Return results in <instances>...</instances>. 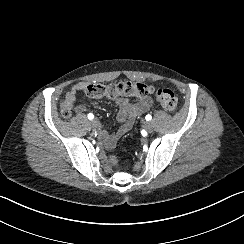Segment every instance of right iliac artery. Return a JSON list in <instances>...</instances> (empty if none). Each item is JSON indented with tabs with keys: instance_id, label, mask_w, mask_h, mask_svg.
<instances>
[{
	"instance_id": "obj_1",
	"label": "right iliac artery",
	"mask_w": 244,
	"mask_h": 244,
	"mask_svg": "<svg viewBox=\"0 0 244 244\" xmlns=\"http://www.w3.org/2000/svg\"><path fill=\"white\" fill-rule=\"evenodd\" d=\"M93 118H94V115H93L92 113H89V114H88V119H89V120H92Z\"/></svg>"
}]
</instances>
